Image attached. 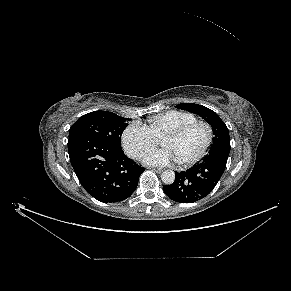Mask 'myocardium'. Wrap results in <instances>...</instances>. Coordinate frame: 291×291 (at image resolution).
Returning <instances> with one entry per match:
<instances>
[{
	"label": "myocardium",
	"instance_id": "obj_1",
	"mask_svg": "<svg viewBox=\"0 0 291 291\" xmlns=\"http://www.w3.org/2000/svg\"><path fill=\"white\" fill-rule=\"evenodd\" d=\"M197 126H202L205 128L206 130V140L205 143L203 145V147L201 148V150L192 158L188 159V160H179L177 161L179 164L184 165V166H191L195 163H197L198 161H200L205 154L207 153V151L209 150L212 142H213V129L212 126L204 121V120H195L192 122H189L177 129H174L172 131H169L168 133H166L162 138L161 141L165 138H178L183 136L184 134H186L187 132H189L191 129L197 127Z\"/></svg>",
	"mask_w": 291,
	"mask_h": 291
}]
</instances>
